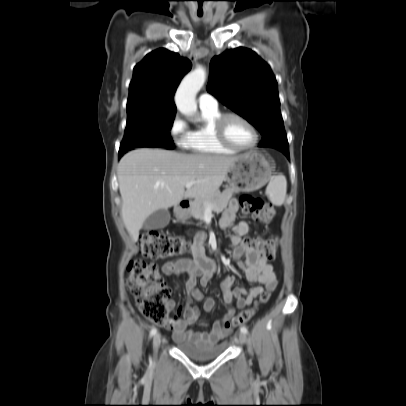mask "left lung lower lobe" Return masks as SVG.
Listing matches in <instances>:
<instances>
[{"instance_id":"left-lung-lower-lobe-1","label":"left lung lower lobe","mask_w":406,"mask_h":406,"mask_svg":"<svg viewBox=\"0 0 406 406\" xmlns=\"http://www.w3.org/2000/svg\"><path fill=\"white\" fill-rule=\"evenodd\" d=\"M280 151H282L287 156L288 159L290 158L289 157V149H282Z\"/></svg>"}]
</instances>
